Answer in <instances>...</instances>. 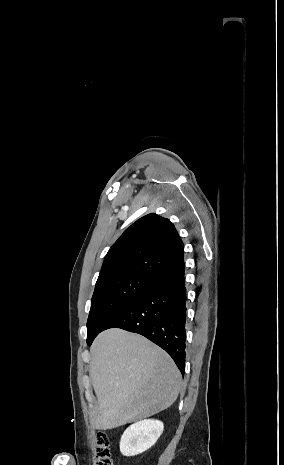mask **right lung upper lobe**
Here are the masks:
<instances>
[{"mask_svg": "<svg viewBox=\"0 0 284 465\" xmlns=\"http://www.w3.org/2000/svg\"><path fill=\"white\" fill-rule=\"evenodd\" d=\"M183 248L168 219L148 214L128 227L113 244L97 282L128 274L154 279L183 262Z\"/></svg>", "mask_w": 284, "mask_h": 465, "instance_id": "right-lung-upper-lobe-1", "label": "right lung upper lobe"}]
</instances>
